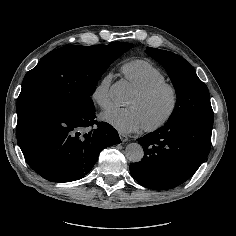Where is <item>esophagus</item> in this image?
<instances>
[{
    "mask_svg": "<svg viewBox=\"0 0 236 236\" xmlns=\"http://www.w3.org/2000/svg\"><path fill=\"white\" fill-rule=\"evenodd\" d=\"M119 137H120L122 142L128 141V137L125 134L121 133V132H119Z\"/></svg>",
    "mask_w": 236,
    "mask_h": 236,
    "instance_id": "34e87169",
    "label": "esophagus"
}]
</instances>
